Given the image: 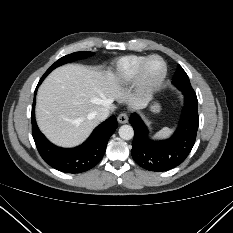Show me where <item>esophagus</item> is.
Here are the masks:
<instances>
[{"mask_svg": "<svg viewBox=\"0 0 233 233\" xmlns=\"http://www.w3.org/2000/svg\"><path fill=\"white\" fill-rule=\"evenodd\" d=\"M117 120L120 124H125L128 122V115L127 113L123 112V113H120L117 117Z\"/></svg>", "mask_w": 233, "mask_h": 233, "instance_id": "34e87169", "label": "esophagus"}]
</instances>
